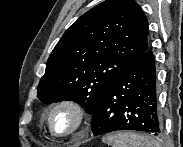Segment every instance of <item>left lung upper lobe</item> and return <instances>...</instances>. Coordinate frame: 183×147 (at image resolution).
Segmentation results:
<instances>
[{"mask_svg":"<svg viewBox=\"0 0 183 147\" xmlns=\"http://www.w3.org/2000/svg\"><path fill=\"white\" fill-rule=\"evenodd\" d=\"M148 21L134 0H106L63 34L38 85L45 104L79 103L92 115L117 76L149 48Z\"/></svg>","mask_w":183,"mask_h":147,"instance_id":"obj_1","label":"left lung upper lobe"}]
</instances>
